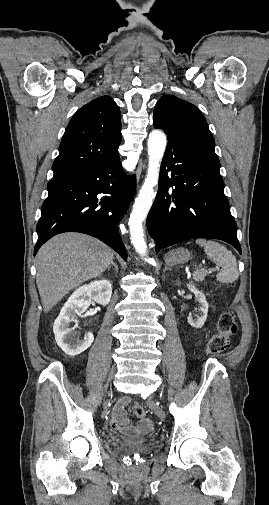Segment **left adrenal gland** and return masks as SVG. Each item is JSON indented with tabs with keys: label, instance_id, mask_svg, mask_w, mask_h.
Listing matches in <instances>:
<instances>
[{
	"label": "left adrenal gland",
	"instance_id": "obj_1",
	"mask_svg": "<svg viewBox=\"0 0 269 505\" xmlns=\"http://www.w3.org/2000/svg\"><path fill=\"white\" fill-rule=\"evenodd\" d=\"M167 270H171V268H169L167 265H165L163 272L165 273Z\"/></svg>",
	"mask_w": 269,
	"mask_h": 505
}]
</instances>
